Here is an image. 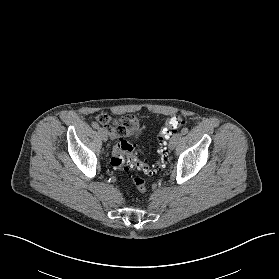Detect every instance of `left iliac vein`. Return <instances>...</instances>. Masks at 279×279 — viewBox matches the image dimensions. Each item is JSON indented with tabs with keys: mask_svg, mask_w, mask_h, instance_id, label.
Wrapping results in <instances>:
<instances>
[{
	"mask_svg": "<svg viewBox=\"0 0 279 279\" xmlns=\"http://www.w3.org/2000/svg\"><path fill=\"white\" fill-rule=\"evenodd\" d=\"M182 137V133L174 134L169 141V149L173 150Z\"/></svg>",
	"mask_w": 279,
	"mask_h": 279,
	"instance_id": "4c4485c4",
	"label": "left iliac vein"
}]
</instances>
